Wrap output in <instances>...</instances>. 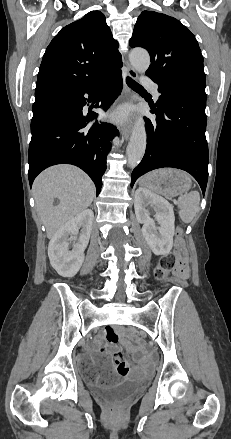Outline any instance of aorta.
<instances>
[{"label": "aorta", "instance_id": "762f6f07", "mask_svg": "<svg viewBox=\"0 0 231 439\" xmlns=\"http://www.w3.org/2000/svg\"><path fill=\"white\" fill-rule=\"evenodd\" d=\"M129 59L139 73H144L149 68L150 56L144 49H133ZM146 138L145 121L142 117H138L127 146L128 164L131 168H135L141 162L146 149Z\"/></svg>", "mask_w": 231, "mask_h": 439}]
</instances>
